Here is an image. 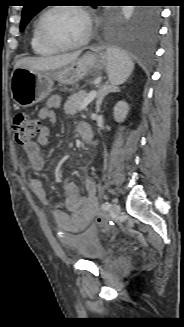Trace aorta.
I'll use <instances>...</instances> for the list:
<instances>
[{"instance_id":"obj_1","label":"aorta","mask_w":184,"mask_h":327,"mask_svg":"<svg viewBox=\"0 0 184 327\" xmlns=\"http://www.w3.org/2000/svg\"><path fill=\"white\" fill-rule=\"evenodd\" d=\"M135 9L133 6H123L121 8V16L125 19V20H129L133 13H134Z\"/></svg>"}]
</instances>
